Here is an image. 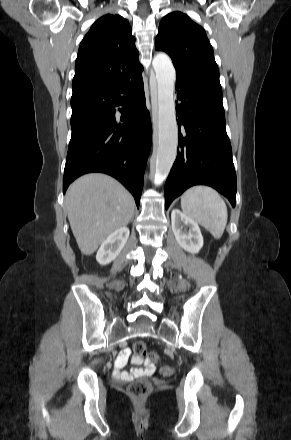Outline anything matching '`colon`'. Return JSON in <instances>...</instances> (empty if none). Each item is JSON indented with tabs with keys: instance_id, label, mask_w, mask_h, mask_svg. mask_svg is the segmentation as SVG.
I'll use <instances>...</instances> for the list:
<instances>
[{
	"instance_id": "1",
	"label": "colon",
	"mask_w": 291,
	"mask_h": 440,
	"mask_svg": "<svg viewBox=\"0 0 291 440\" xmlns=\"http://www.w3.org/2000/svg\"><path fill=\"white\" fill-rule=\"evenodd\" d=\"M133 350L135 359H142L146 356L154 360L156 359V355L154 353L148 352L146 344L143 341L135 342ZM161 372L166 373L168 372V369L166 367H163L161 369ZM150 390V383L143 379L135 380L128 386V394L134 400H143L148 396Z\"/></svg>"
}]
</instances>
